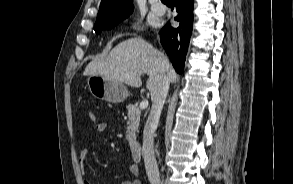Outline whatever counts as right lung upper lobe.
<instances>
[{"label":"right lung upper lobe","mask_w":293,"mask_h":184,"mask_svg":"<svg viewBox=\"0 0 293 184\" xmlns=\"http://www.w3.org/2000/svg\"><path fill=\"white\" fill-rule=\"evenodd\" d=\"M133 0H102L95 24H106L125 17L133 11Z\"/></svg>","instance_id":"right-lung-upper-lobe-1"}]
</instances>
